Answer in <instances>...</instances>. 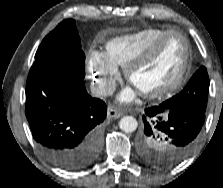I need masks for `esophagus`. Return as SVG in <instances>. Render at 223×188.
I'll return each instance as SVG.
<instances>
[{"mask_svg":"<svg viewBox=\"0 0 223 188\" xmlns=\"http://www.w3.org/2000/svg\"><path fill=\"white\" fill-rule=\"evenodd\" d=\"M107 116L110 119H117L122 116V113L120 111L114 109L112 106H109Z\"/></svg>","mask_w":223,"mask_h":188,"instance_id":"esophagus-1","label":"esophagus"}]
</instances>
